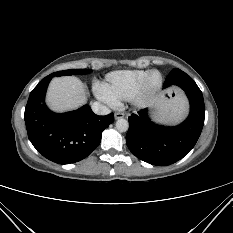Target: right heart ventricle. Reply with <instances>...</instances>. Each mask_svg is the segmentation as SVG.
Returning a JSON list of instances; mask_svg holds the SVG:
<instances>
[{
  "instance_id": "obj_1",
  "label": "right heart ventricle",
  "mask_w": 233,
  "mask_h": 233,
  "mask_svg": "<svg viewBox=\"0 0 233 233\" xmlns=\"http://www.w3.org/2000/svg\"><path fill=\"white\" fill-rule=\"evenodd\" d=\"M149 70H121L109 73L102 85L115 103L131 100Z\"/></svg>"
}]
</instances>
